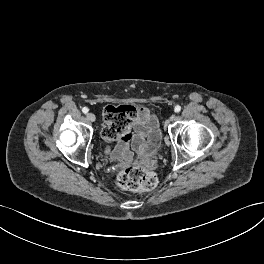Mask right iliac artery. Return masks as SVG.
<instances>
[{"mask_svg":"<svg viewBox=\"0 0 264 264\" xmlns=\"http://www.w3.org/2000/svg\"><path fill=\"white\" fill-rule=\"evenodd\" d=\"M88 111H89V109H88L87 107H83V108H82V112H83L84 114H86Z\"/></svg>","mask_w":264,"mask_h":264,"instance_id":"right-iliac-artery-1","label":"right iliac artery"}]
</instances>
